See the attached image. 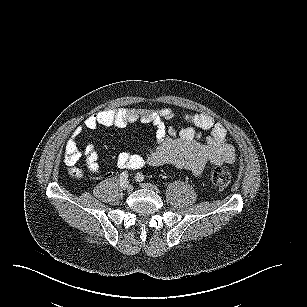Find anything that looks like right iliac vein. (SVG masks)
Wrapping results in <instances>:
<instances>
[{"instance_id":"right-iliac-vein-1","label":"right iliac vein","mask_w":307,"mask_h":307,"mask_svg":"<svg viewBox=\"0 0 307 307\" xmlns=\"http://www.w3.org/2000/svg\"><path fill=\"white\" fill-rule=\"evenodd\" d=\"M125 189H126V191H127L128 193H131V192L133 191V185H132V184H129V185H127V186L125 187Z\"/></svg>"}]
</instances>
